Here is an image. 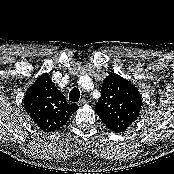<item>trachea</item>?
Segmentation results:
<instances>
[{
	"instance_id": "obj_1",
	"label": "trachea",
	"mask_w": 174,
	"mask_h": 174,
	"mask_svg": "<svg viewBox=\"0 0 174 174\" xmlns=\"http://www.w3.org/2000/svg\"><path fill=\"white\" fill-rule=\"evenodd\" d=\"M80 99V91L78 88L74 87L69 93V101L78 102Z\"/></svg>"
}]
</instances>
